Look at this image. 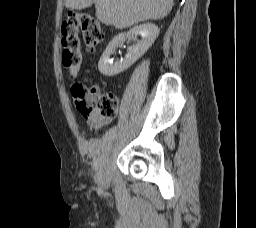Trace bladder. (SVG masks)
<instances>
[{"label": "bladder", "mask_w": 256, "mask_h": 228, "mask_svg": "<svg viewBox=\"0 0 256 228\" xmlns=\"http://www.w3.org/2000/svg\"><path fill=\"white\" fill-rule=\"evenodd\" d=\"M121 146L119 139L114 135H105L103 138L94 141L90 149L94 163L98 167H103Z\"/></svg>", "instance_id": "obj_1"}]
</instances>
